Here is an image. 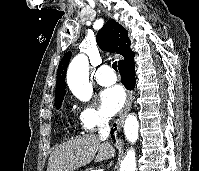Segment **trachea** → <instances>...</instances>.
I'll list each match as a JSON object with an SVG mask.
<instances>
[{"label": "trachea", "mask_w": 199, "mask_h": 171, "mask_svg": "<svg viewBox=\"0 0 199 171\" xmlns=\"http://www.w3.org/2000/svg\"><path fill=\"white\" fill-rule=\"evenodd\" d=\"M112 67H113V69H114L116 72L118 71V69H117V61L113 62Z\"/></svg>", "instance_id": "obj_1"}]
</instances>
